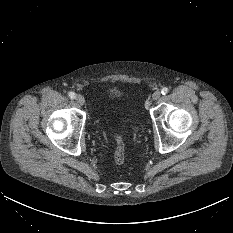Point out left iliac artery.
I'll return each mask as SVG.
<instances>
[{
  "label": "left iliac artery",
  "mask_w": 233,
  "mask_h": 233,
  "mask_svg": "<svg viewBox=\"0 0 233 233\" xmlns=\"http://www.w3.org/2000/svg\"><path fill=\"white\" fill-rule=\"evenodd\" d=\"M168 88L167 87H164L161 91L162 95H166L168 93Z\"/></svg>",
  "instance_id": "left-iliac-artery-1"
}]
</instances>
